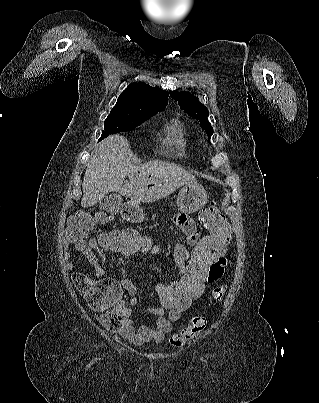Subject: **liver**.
<instances>
[{
	"label": "liver",
	"instance_id": "obj_1",
	"mask_svg": "<svg viewBox=\"0 0 319 403\" xmlns=\"http://www.w3.org/2000/svg\"><path fill=\"white\" fill-rule=\"evenodd\" d=\"M129 141L118 134L101 141L91 155L83 178L81 206L97 204L109 192L134 201L154 202L196 178L176 164L153 160L134 165ZM129 183L123 185L125 177Z\"/></svg>",
	"mask_w": 319,
	"mask_h": 403
}]
</instances>
